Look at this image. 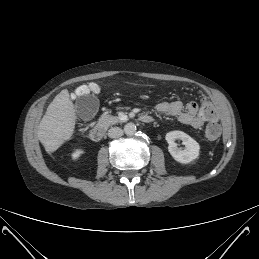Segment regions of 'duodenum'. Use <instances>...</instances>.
I'll use <instances>...</instances> for the list:
<instances>
[{"instance_id":"duodenum-1","label":"duodenum","mask_w":259,"mask_h":259,"mask_svg":"<svg viewBox=\"0 0 259 259\" xmlns=\"http://www.w3.org/2000/svg\"><path fill=\"white\" fill-rule=\"evenodd\" d=\"M139 120L143 123H151L153 121V118L150 115L144 114L139 117ZM104 135L105 128L103 126H95L89 132L91 140L95 142L102 140Z\"/></svg>"}]
</instances>
